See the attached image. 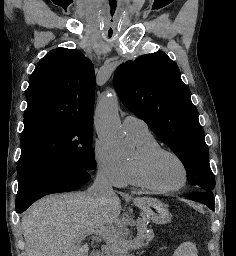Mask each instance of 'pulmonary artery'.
<instances>
[{"label":"pulmonary artery","mask_w":236,"mask_h":256,"mask_svg":"<svg viewBox=\"0 0 236 256\" xmlns=\"http://www.w3.org/2000/svg\"><path fill=\"white\" fill-rule=\"evenodd\" d=\"M122 125L126 133L132 137L147 136L150 134L147 124L134 115L124 117Z\"/></svg>","instance_id":"obj_1"}]
</instances>
